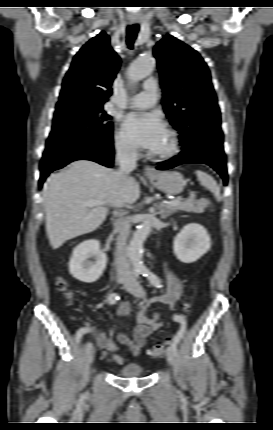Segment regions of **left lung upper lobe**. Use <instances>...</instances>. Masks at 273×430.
I'll use <instances>...</instances> for the list:
<instances>
[{
    "label": "left lung upper lobe",
    "instance_id": "obj_1",
    "mask_svg": "<svg viewBox=\"0 0 273 430\" xmlns=\"http://www.w3.org/2000/svg\"><path fill=\"white\" fill-rule=\"evenodd\" d=\"M154 56L160 71L163 107L175 129L182 134L207 119L220 124L210 72L200 54L166 35L156 44Z\"/></svg>",
    "mask_w": 273,
    "mask_h": 430
}]
</instances>
